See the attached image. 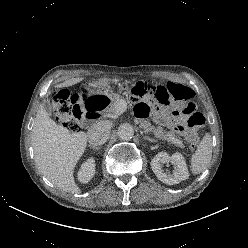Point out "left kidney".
<instances>
[{"mask_svg":"<svg viewBox=\"0 0 248 248\" xmlns=\"http://www.w3.org/2000/svg\"><path fill=\"white\" fill-rule=\"evenodd\" d=\"M166 163L174 165L173 174L164 172L163 165ZM151 168L157 178L168 185L178 184L189 177L186 162L181 153L169 156L166 152H160L152 159Z\"/></svg>","mask_w":248,"mask_h":248,"instance_id":"1","label":"left kidney"}]
</instances>
